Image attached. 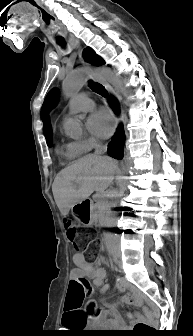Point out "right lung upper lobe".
<instances>
[{"instance_id": "obj_1", "label": "right lung upper lobe", "mask_w": 193, "mask_h": 336, "mask_svg": "<svg viewBox=\"0 0 193 336\" xmlns=\"http://www.w3.org/2000/svg\"><path fill=\"white\" fill-rule=\"evenodd\" d=\"M43 131H44V135L46 137V140H50L51 128H50V124H49L48 119H44V121H43Z\"/></svg>"}]
</instances>
